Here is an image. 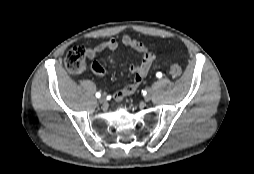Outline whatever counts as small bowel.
<instances>
[{
  "label": "small bowel",
  "instance_id": "obj_1",
  "mask_svg": "<svg viewBox=\"0 0 254 174\" xmlns=\"http://www.w3.org/2000/svg\"><path fill=\"white\" fill-rule=\"evenodd\" d=\"M120 43L124 46L134 49L141 56V61L139 64H131L129 71L134 75L132 81L126 86L118 89L115 92V99L117 101L122 100L123 98L133 94L137 88L142 83L143 79L148 74L154 60V54L140 41L132 38L129 35H124L121 38ZM119 42L116 39H108L99 43L96 46L89 47L87 49V56L90 59L95 58L99 53L103 51H114L118 48ZM114 62V61H111ZM92 72L98 76L103 77L106 74V69L99 62H92L91 64Z\"/></svg>",
  "mask_w": 254,
  "mask_h": 174
}]
</instances>
